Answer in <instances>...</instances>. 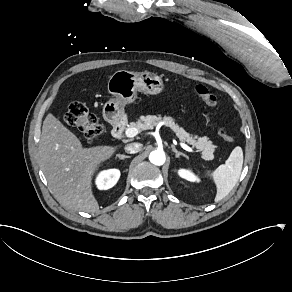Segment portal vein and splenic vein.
I'll list each match as a JSON object with an SVG mask.
<instances>
[{
    "instance_id": "18ae733b",
    "label": "portal vein and splenic vein",
    "mask_w": 292,
    "mask_h": 292,
    "mask_svg": "<svg viewBox=\"0 0 292 292\" xmlns=\"http://www.w3.org/2000/svg\"><path fill=\"white\" fill-rule=\"evenodd\" d=\"M137 133H138V130L136 128H127L125 130L124 135L126 138H133L137 135ZM183 148L188 152H193V153L195 152L191 147H189L185 144L183 145ZM208 159H212V158H208Z\"/></svg>"
}]
</instances>
